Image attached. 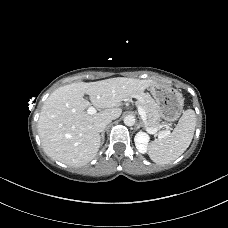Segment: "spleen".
<instances>
[{
	"label": "spleen",
	"instance_id": "1",
	"mask_svg": "<svg viewBox=\"0 0 228 228\" xmlns=\"http://www.w3.org/2000/svg\"><path fill=\"white\" fill-rule=\"evenodd\" d=\"M196 126V115L192 109L186 110L174 131L162 139L150 143L148 154L157 164H169L180 157L189 147Z\"/></svg>",
	"mask_w": 228,
	"mask_h": 228
}]
</instances>
